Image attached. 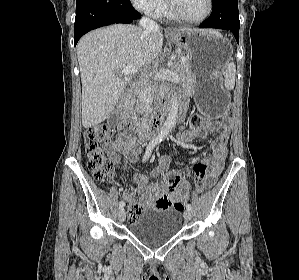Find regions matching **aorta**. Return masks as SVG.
Returning <instances> with one entry per match:
<instances>
[{
	"mask_svg": "<svg viewBox=\"0 0 299 280\" xmlns=\"http://www.w3.org/2000/svg\"><path fill=\"white\" fill-rule=\"evenodd\" d=\"M178 115V100L175 93H172L171 97V107L169 109L168 117L163 125L161 132L158 135V138H165L169 132L173 129Z\"/></svg>",
	"mask_w": 299,
	"mask_h": 280,
	"instance_id": "aorta-1",
	"label": "aorta"
}]
</instances>
